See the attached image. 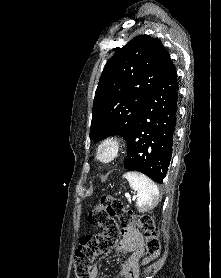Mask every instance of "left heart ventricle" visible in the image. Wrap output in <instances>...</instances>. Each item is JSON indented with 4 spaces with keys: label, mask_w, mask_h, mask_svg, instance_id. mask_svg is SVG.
I'll use <instances>...</instances> for the list:
<instances>
[{
    "label": "left heart ventricle",
    "mask_w": 221,
    "mask_h": 278,
    "mask_svg": "<svg viewBox=\"0 0 221 278\" xmlns=\"http://www.w3.org/2000/svg\"><path fill=\"white\" fill-rule=\"evenodd\" d=\"M101 156L103 158H106L108 156V152L106 150H103L102 153H101Z\"/></svg>",
    "instance_id": "left-heart-ventricle-1"
}]
</instances>
